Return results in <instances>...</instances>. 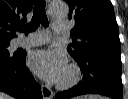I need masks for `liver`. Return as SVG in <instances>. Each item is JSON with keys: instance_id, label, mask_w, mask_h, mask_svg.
Wrapping results in <instances>:
<instances>
[{"instance_id": "obj_1", "label": "liver", "mask_w": 128, "mask_h": 99, "mask_svg": "<svg viewBox=\"0 0 128 99\" xmlns=\"http://www.w3.org/2000/svg\"><path fill=\"white\" fill-rule=\"evenodd\" d=\"M90 97V96H89ZM89 97H85V99H91V98H89ZM98 97V99H103L102 97H100V96H97ZM0 99H13V98H11L10 96H8L7 94H4V93H2V92H0Z\"/></svg>"}]
</instances>
